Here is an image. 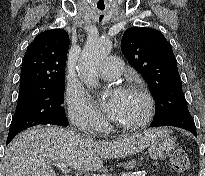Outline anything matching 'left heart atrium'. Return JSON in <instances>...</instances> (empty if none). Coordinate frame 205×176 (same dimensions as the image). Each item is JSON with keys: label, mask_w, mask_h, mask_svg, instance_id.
<instances>
[{"label": "left heart atrium", "mask_w": 205, "mask_h": 176, "mask_svg": "<svg viewBox=\"0 0 205 176\" xmlns=\"http://www.w3.org/2000/svg\"><path fill=\"white\" fill-rule=\"evenodd\" d=\"M128 96L129 93L126 90L123 89L116 90L112 94L111 98L109 99V101L105 106V110L107 111V113L112 117H116L121 106L125 103Z\"/></svg>", "instance_id": "left-heart-atrium-1"}]
</instances>
